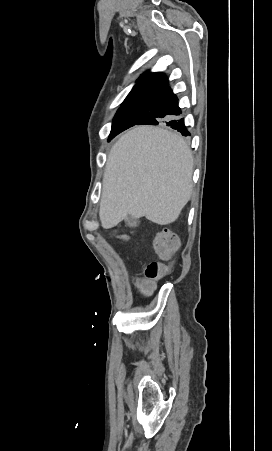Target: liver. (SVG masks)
Segmentation results:
<instances>
[{
    "instance_id": "liver-1",
    "label": "liver",
    "mask_w": 272,
    "mask_h": 451,
    "mask_svg": "<svg viewBox=\"0 0 272 451\" xmlns=\"http://www.w3.org/2000/svg\"><path fill=\"white\" fill-rule=\"evenodd\" d=\"M194 160L182 136L137 126L112 146L103 178L99 218L109 229L131 218L166 226L191 198Z\"/></svg>"
}]
</instances>
